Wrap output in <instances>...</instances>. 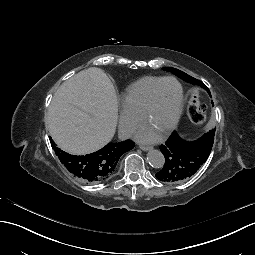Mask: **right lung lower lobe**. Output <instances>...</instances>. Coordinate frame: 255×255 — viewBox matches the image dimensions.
<instances>
[{
	"label": "right lung lower lobe",
	"mask_w": 255,
	"mask_h": 255,
	"mask_svg": "<svg viewBox=\"0 0 255 255\" xmlns=\"http://www.w3.org/2000/svg\"><path fill=\"white\" fill-rule=\"evenodd\" d=\"M83 178L85 180H92L94 176L100 174V161L97 158H93L91 155L84 157Z\"/></svg>",
	"instance_id": "right-lung-lower-lobe-1"
}]
</instances>
